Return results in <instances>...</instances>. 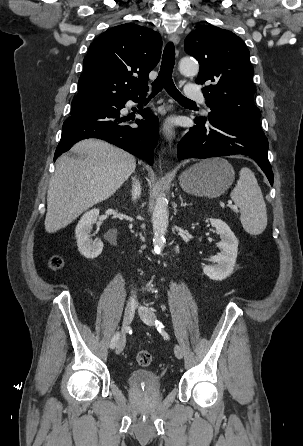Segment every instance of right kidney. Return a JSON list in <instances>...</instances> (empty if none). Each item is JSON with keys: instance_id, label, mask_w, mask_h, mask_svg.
<instances>
[{"instance_id": "obj_1", "label": "right kidney", "mask_w": 303, "mask_h": 446, "mask_svg": "<svg viewBox=\"0 0 303 446\" xmlns=\"http://www.w3.org/2000/svg\"><path fill=\"white\" fill-rule=\"evenodd\" d=\"M98 216V209H92L86 212L81 217L75 229L78 250L80 254L87 259H94L98 257L103 250V243L101 240L90 239V232Z\"/></svg>"}]
</instances>
